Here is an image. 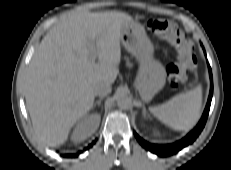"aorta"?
Masks as SVG:
<instances>
[{
	"instance_id": "762f6f07",
	"label": "aorta",
	"mask_w": 231,
	"mask_h": 170,
	"mask_svg": "<svg viewBox=\"0 0 231 170\" xmlns=\"http://www.w3.org/2000/svg\"><path fill=\"white\" fill-rule=\"evenodd\" d=\"M116 102L121 109H130L132 107V99L125 93L117 95Z\"/></svg>"
}]
</instances>
